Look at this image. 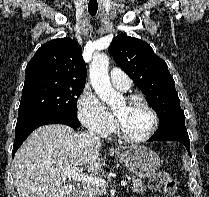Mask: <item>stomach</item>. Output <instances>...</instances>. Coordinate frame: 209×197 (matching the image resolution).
I'll return each instance as SVG.
<instances>
[{"mask_svg": "<svg viewBox=\"0 0 209 197\" xmlns=\"http://www.w3.org/2000/svg\"><path fill=\"white\" fill-rule=\"evenodd\" d=\"M119 161L139 178H150L160 168L158 155L146 146H131L127 150L116 153Z\"/></svg>", "mask_w": 209, "mask_h": 197, "instance_id": "obj_1", "label": "stomach"}]
</instances>
